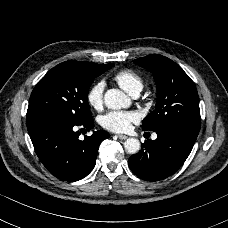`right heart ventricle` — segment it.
Here are the masks:
<instances>
[{
	"label": "right heart ventricle",
	"instance_id": "e07e8e85",
	"mask_svg": "<svg viewBox=\"0 0 228 228\" xmlns=\"http://www.w3.org/2000/svg\"><path fill=\"white\" fill-rule=\"evenodd\" d=\"M114 81L128 94L140 93L144 86L143 78L131 69H123L113 75Z\"/></svg>",
	"mask_w": 228,
	"mask_h": 228
}]
</instances>
